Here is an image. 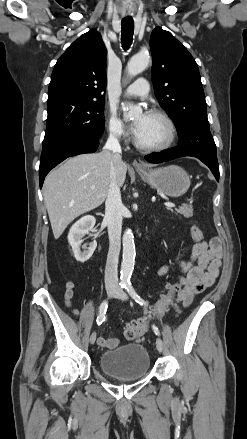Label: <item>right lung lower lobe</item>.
I'll use <instances>...</instances> for the list:
<instances>
[{
  "mask_svg": "<svg viewBox=\"0 0 247 439\" xmlns=\"http://www.w3.org/2000/svg\"><path fill=\"white\" fill-rule=\"evenodd\" d=\"M99 138L76 139L44 148L39 167L40 188L49 171L66 158L95 152L99 145Z\"/></svg>",
  "mask_w": 247,
  "mask_h": 439,
  "instance_id": "98d812e1",
  "label": "right lung lower lobe"
}]
</instances>
